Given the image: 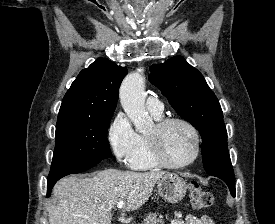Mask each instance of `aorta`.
Masks as SVG:
<instances>
[{
  "label": "aorta",
  "instance_id": "obj_1",
  "mask_svg": "<svg viewBox=\"0 0 275 224\" xmlns=\"http://www.w3.org/2000/svg\"><path fill=\"white\" fill-rule=\"evenodd\" d=\"M120 102L136 132L144 133L152 127V119L145 108L144 77L141 73L132 72L124 79L120 87Z\"/></svg>",
  "mask_w": 275,
  "mask_h": 224
}]
</instances>
